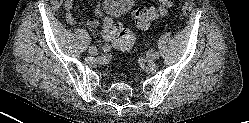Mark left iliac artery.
Returning a JSON list of instances; mask_svg holds the SVG:
<instances>
[{
  "label": "left iliac artery",
  "instance_id": "44dca946",
  "mask_svg": "<svg viewBox=\"0 0 249 123\" xmlns=\"http://www.w3.org/2000/svg\"><path fill=\"white\" fill-rule=\"evenodd\" d=\"M154 56H155V59H158L159 58V53L158 52H154Z\"/></svg>",
  "mask_w": 249,
  "mask_h": 123
}]
</instances>
